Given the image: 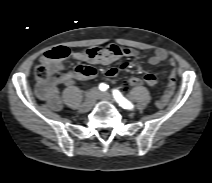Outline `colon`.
<instances>
[{
    "label": "colon",
    "instance_id": "5ec220e1",
    "mask_svg": "<svg viewBox=\"0 0 212 183\" xmlns=\"http://www.w3.org/2000/svg\"><path fill=\"white\" fill-rule=\"evenodd\" d=\"M46 57L53 62H61L69 56V50L66 47L59 46L55 47L45 53ZM83 66L79 65L75 68V71L82 72ZM62 77V72L57 69L50 68L47 64H39L35 68V78L41 85H48L53 81H57ZM145 81L138 78L132 77L125 82V88L129 89L132 87L142 86Z\"/></svg>",
    "mask_w": 212,
    "mask_h": 183
}]
</instances>
